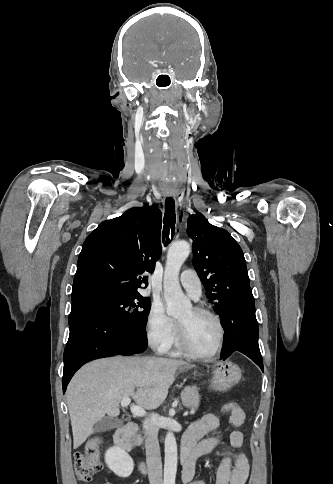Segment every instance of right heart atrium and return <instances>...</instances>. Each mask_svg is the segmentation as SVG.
I'll return each mask as SVG.
<instances>
[{
	"mask_svg": "<svg viewBox=\"0 0 333 484\" xmlns=\"http://www.w3.org/2000/svg\"><path fill=\"white\" fill-rule=\"evenodd\" d=\"M145 331L148 342L159 351H166L173 343L176 324L167 315L163 305L155 302L151 305L146 322Z\"/></svg>",
	"mask_w": 333,
	"mask_h": 484,
	"instance_id": "d8ad5b80",
	"label": "right heart atrium"
}]
</instances>
